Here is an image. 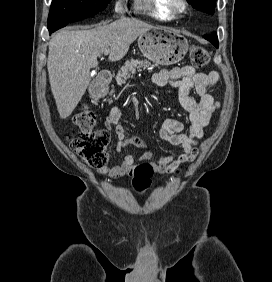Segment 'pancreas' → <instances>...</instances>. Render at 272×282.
Here are the masks:
<instances>
[{"label": "pancreas", "mask_w": 272, "mask_h": 282, "mask_svg": "<svg viewBox=\"0 0 272 282\" xmlns=\"http://www.w3.org/2000/svg\"><path fill=\"white\" fill-rule=\"evenodd\" d=\"M153 67L154 65H152L148 60L131 59L126 61L125 65L121 67L115 79L117 83L121 85L124 84L132 74H135L136 71H141L146 68L152 69Z\"/></svg>", "instance_id": "1"}]
</instances>
